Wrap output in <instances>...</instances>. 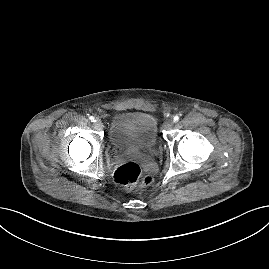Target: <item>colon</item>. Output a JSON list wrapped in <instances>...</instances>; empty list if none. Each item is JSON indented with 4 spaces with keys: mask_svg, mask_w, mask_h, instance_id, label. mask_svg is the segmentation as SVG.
<instances>
[{
    "mask_svg": "<svg viewBox=\"0 0 269 269\" xmlns=\"http://www.w3.org/2000/svg\"><path fill=\"white\" fill-rule=\"evenodd\" d=\"M114 180L120 186L133 189L137 186H148L152 177L144 173L141 166L133 161L119 164L114 171Z\"/></svg>",
    "mask_w": 269,
    "mask_h": 269,
    "instance_id": "colon-1",
    "label": "colon"
}]
</instances>
